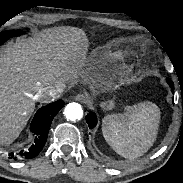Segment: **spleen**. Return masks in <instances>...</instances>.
<instances>
[{
    "label": "spleen",
    "mask_w": 183,
    "mask_h": 183,
    "mask_svg": "<svg viewBox=\"0 0 183 183\" xmlns=\"http://www.w3.org/2000/svg\"><path fill=\"white\" fill-rule=\"evenodd\" d=\"M159 118V108L154 103L141 102L129 107L122 116H106L102 125L103 135L119 155L134 159L153 145Z\"/></svg>",
    "instance_id": "1"
}]
</instances>
